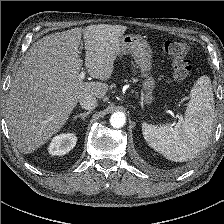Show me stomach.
I'll return each mask as SVG.
<instances>
[{"instance_id":"1","label":"stomach","mask_w":224,"mask_h":224,"mask_svg":"<svg viewBox=\"0 0 224 224\" xmlns=\"http://www.w3.org/2000/svg\"><path fill=\"white\" fill-rule=\"evenodd\" d=\"M120 54L119 57L130 53L138 65L142 77V88L144 90V102L150 105L153 100V92L156 87V82L150 73L152 68V49L148 42L140 35L127 34L120 39Z\"/></svg>"}]
</instances>
